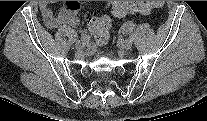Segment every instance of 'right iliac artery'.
I'll return each mask as SVG.
<instances>
[{
  "instance_id": "1",
  "label": "right iliac artery",
  "mask_w": 207,
  "mask_h": 121,
  "mask_svg": "<svg viewBox=\"0 0 207 121\" xmlns=\"http://www.w3.org/2000/svg\"><path fill=\"white\" fill-rule=\"evenodd\" d=\"M81 40L84 45H87L89 43L90 37L86 33L85 34L83 33L81 36Z\"/></svg>"
}]
</instances>
